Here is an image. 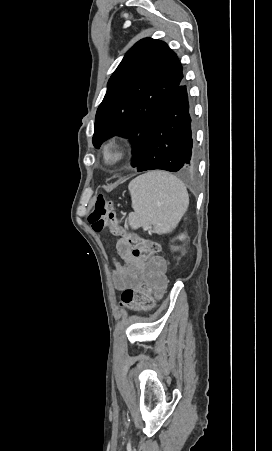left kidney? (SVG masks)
I'll return each instance as SVG.
<instances>
[{
  "label": "left kidney",
  "mask_w": 272,
  "mask_h": 451,
  "mask_svg": "<svg viewBox=\"0 0 272 451\" xmlns=\"http://www.w3.org/2000/svg\"><path fill=\"white\" fill-rule=\"evenodd\" d=\"M186 237L185 233H181V235H178L177 239H184Z\"/></svg>",
  "instance_id": "5707ae66"
}]
</instances>
